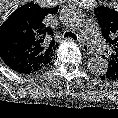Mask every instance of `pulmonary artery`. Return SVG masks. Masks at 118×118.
I'll use <instances>...</instances> for the list:
<instances>
[{
    "label": "pulmonary artery",
    "instance_id": "obj_1",
    "mask_svg": "<svg viewBox=\"0 0 118 118\" xmlns=\"http://www.w3.org/2000/svg\"><path fill=\"white\" fill-rule=\"evenodd\" d=\"M84 33L89 46H91L95 51L102 53L105 48L102 37L97 30L94 20H87V22L85 23Z\"/></svg>",
    "mask_w": 118,
    "mask_h": 118
}]
</instances>
